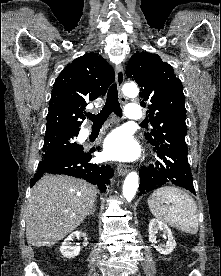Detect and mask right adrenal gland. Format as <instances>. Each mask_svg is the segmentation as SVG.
<instances>
[{
    "label": "right adrenal gland",
    "instance_id": "right-adrenal-gland-1",
    "mask_svg": "<svg viewBox=\"0 0 221 276\" xmlns=\"http://www.w3.org/2000/svg\"><path fill=\"white\" fill-rule=\"evenodd\" d=\"M95 211H96V205L94 204L93 207H92V209H91V211L87 214V216H90V215L94 216L95 215Z\"/></svg>",
    "mask_w": 221,
    "mask_h": 276
}]
</instances>
